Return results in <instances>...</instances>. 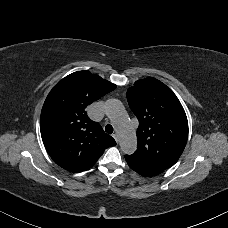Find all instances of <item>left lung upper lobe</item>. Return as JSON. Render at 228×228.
Returning a JSON list of instances; mask_svg holds the SVG:
<instances>
[{"instance_id": "left-lung-upper-lobe-1", "label": "left lung upper lobe", "mask_w": 228, "mask_h": 228, "mask_svg": "<svg viewBox=\"0 0 228 228\" xmlns=\"http://www.w3.org/2000/svg\"><path fill=\"white\" fill-rule=\"evenodd\" d=\"M127 99L139 120L137 150L132 156L164 169L181 156L188 138V121L176 95L155 78L135 82Z\"/></svg>"}]
</instances>
